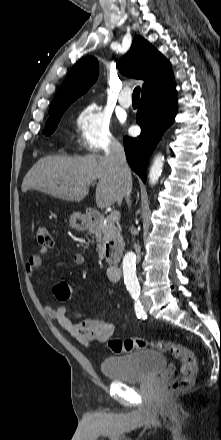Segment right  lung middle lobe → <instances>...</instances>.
<instances>
[{
    "mask_svg": "<svg viewBox=\"0 0 221 440\" xmlns=\"http://www.w3.org/2000/svg\"><path fill=\"white\" fill-rule=\"evenodd\" d=\"M67 107L68 106H64V107H59V108L49 110V118H48L47 123L45 125V128L43 130V134L50 135L55 131V129L58 125V122L60 121V119H61L63 113L65 112V110L67 109Z\"/></svg>",
    "mask_w": 221,
    "mask_h": 440,
    "instance_id": "dd1d6c3e",
    "label": "right lung middle lobe"
}]
</instances>
